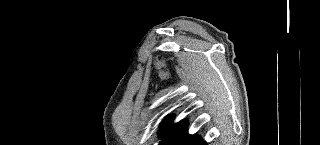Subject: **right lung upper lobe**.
Segmentation results:
<instances>
[{
	"label": "right lung upper lobe",
	"instance_id": "1",
	"mask_svg": "<svg viewBox=\"0 0 320 145\" xmlns=\"http://www.w3.org/2000/svg\"><path fill=\"white\" fill-rule=\"evenodd\" d=\"M174 116L165 118L161 125V134H166V136H177L181 133H184L187 130V123L179 122L174 126H171Z\"/></svg>",
	"mask_w": 320,
	"mask_h": 145
}]
</instances>
